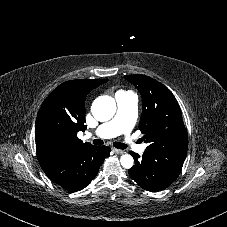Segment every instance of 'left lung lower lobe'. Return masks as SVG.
<instances>
[{
    "mask_svg": "<svg viewBox=\"0 0 227 227\" xmlns=\"http://www.w3.org/2000/svg\"><path fill=\"white\" fill-rule=\"evenodd\" d=\"M136 160L128 170L130 177L143 189L159 192L170 186L179 176L187 154V147H150L142 156L129 152Z\"/></svg>",
    "mask_w": 227,
    "mask_h": 227,
    "instance_id": "obj_1",
    "label": "left lung lower lobe"
}]
</instances>
